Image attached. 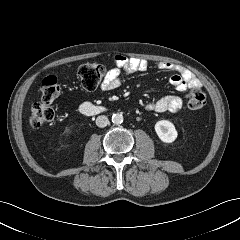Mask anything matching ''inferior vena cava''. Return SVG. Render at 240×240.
<instances>
[{
    "instance_id": "602c4592",
    "label": "inferior vena cava",
    "mask_w": 240,
    "mask_h": 240,
    "mask_svg": "<svg viewBox=\"0 0 240 240\" xmlns=\"http://www.w3.org/2000/svg\"><path fill=\"white\" fill-rule=\"evenodd\" d=\"M109 124L107 116L100 115L96 118V125L100 128L106 127Z\"/></svg>"
}]
</instances>
